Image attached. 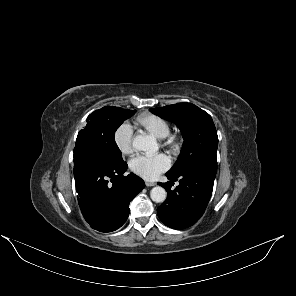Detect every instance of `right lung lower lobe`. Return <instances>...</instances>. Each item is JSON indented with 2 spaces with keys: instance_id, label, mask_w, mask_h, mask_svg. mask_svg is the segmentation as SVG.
Instances as JSON below:
<instances>
[{
  "instance_id": "obj_1",
  "label": "right lung lower lobe",
  "mask_w": 296,
  "mask_h": 296,
  "mask_svg": "<svg viewBox=\"0 0 296 296\" xmlns=\"http://www.w3.org/2000/svg\"><path fill=\"white\" fill-rule=\"evenodd\" d=\"M74 178L81 212L90 226L100 232L120 228L129 215V204L144 188L133 173L123 176L127 163H114L97 148L75 143Z\"/></svg>"
}]
</instances>
